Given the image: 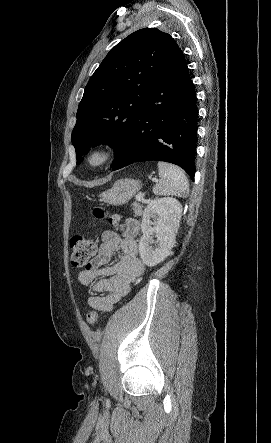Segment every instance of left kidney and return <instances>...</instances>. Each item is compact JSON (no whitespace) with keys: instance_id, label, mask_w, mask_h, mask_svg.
Returning a JSON list of instances; mask_svg holds the SVG:
<instances>
[{"instance_id":"obj_1","label":"left kidney","mask_w":271,"mask_h":443,"mask_svg":"<svg viewBox=\"0 0 271 443\" xmlns=\"http://www.w3.org/2000/svg\"><path fill=\"white\" fill-rule=\"evenodd\" d=\"M181 216L182 206L175 198H156L145 208L141 223L143 235L139 241V253L145 265L153 267L171 253Z\"/></svg>"}]
</instances>
